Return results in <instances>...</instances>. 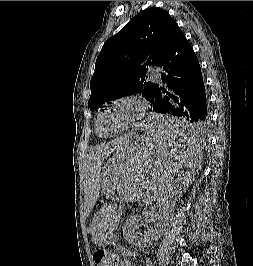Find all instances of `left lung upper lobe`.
<instances>
[{
	"label": "left lung upper lobe",
	"mask_w": 253,
	"mask_h": 266,
	"mask_svg": "<svg viewBox=\"0 0 253 266\" xmlns=\"http://www.w3.org/2000/svg\"><path fill=\"white\" fill-rule=\"evenodd\" d=\"M177 23L164 10H142L103 45L91 78L90 110L125 94L140 93L153 101L155 84L148 66L157 65Z\"/></svg>",
	"instance_id": "1"
}]
</instances>
